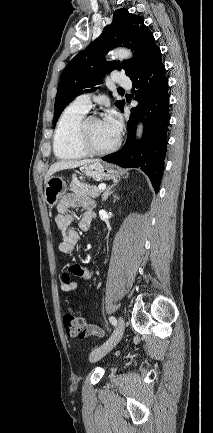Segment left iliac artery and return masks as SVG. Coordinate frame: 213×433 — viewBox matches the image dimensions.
<instances>
[{
	"instance_id": "obj_1",
	"label": "left iliac artery",
	"mask_w": 213,
	"mask_h": 433,
	"mask_svg": "<svg viewBox=\"0 0 213 433\" xmlns=\"http://www.w3.org/2000/svg\"><path fill=\"white\" fill-rule=\"evenodd\" d=\"M109 321L111 322V324H112L113 326H116V325H117V320H116L115 317H113V316L109 317Z\"/></svg>"
}]
</instances>
